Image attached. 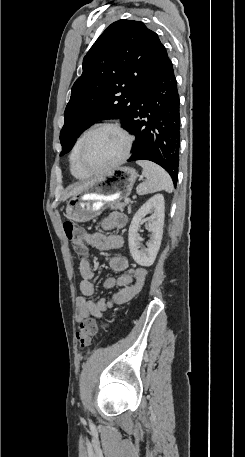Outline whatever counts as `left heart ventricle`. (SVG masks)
I'll list each match as a JSON object with an SVG mask.
<instances>
[{
    "mask_svg": "<svg viewBox=\"0 0 245 457\" xmlns=\"http://www.w3.org/2000/svg\"><path fill=\"white\" fill-rule=\"evenodd\" d=\"M124 139L116 132L105 129L94 134L87 143L82 160L90 170H98L112 164L122 153Z\"/></svg>",
    "mask_w": 245,
    "mask_h": 457,
    "instance_id": "left-heart-ventricle-1",
    "label": "left heart ventricle"
}]
</instances>
